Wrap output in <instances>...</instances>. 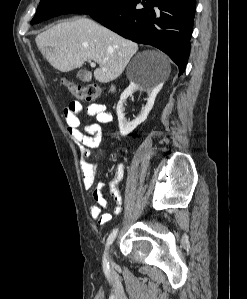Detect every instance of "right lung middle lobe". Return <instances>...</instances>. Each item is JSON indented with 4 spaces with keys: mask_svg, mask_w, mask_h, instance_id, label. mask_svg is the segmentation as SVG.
<instances>
[{
    "mask_svg": "<svg viewBox=\"0 0 247 299\" xmlns=\"http://www.w3.org/2000/svg\"><path fill=\"white\" fill-rule=\"evenodd\" d=\"M123 0H41L31 24L62 14H90Z\"/></svg>",
    "mask_w": 247,
    "mask_h": 299,
    "instance_id": "obj_1",
    "label": "right lung middle lobe"
}]
</instances>
